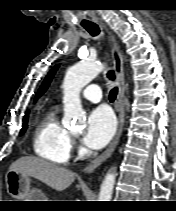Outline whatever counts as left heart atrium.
<instances>
[{
	"instance_id": "obj_1",
	"label": "left heart atrium",
	"mask_w": 176,
	"mask_h": 211,
	"mask_svg": "<svg viewBox=\"0 0 176 211\" xmlns=\"http://www.w3.org/2000/svg\"><path fill=\"white\" fill-rule=\"evenodd\" d=\"M116 122L113 114L106 107L93 110L87 119L84 143L93 149L104 147L113 137Z\"/></svg>"
}]
</instances>
